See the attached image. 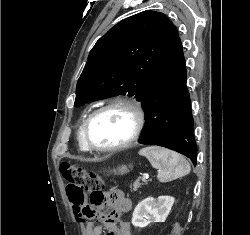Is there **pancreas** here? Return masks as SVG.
Returning <instances> with one entry per match:
<instances>
[{
  "label": "pancreas",
  "instance_id": "obj_1",
  "mask_svg": "<svg viewBox=\"0 0 250 235\" xmlns=\"http://www.w3.org/2000/svg\"><path fill=\"white\" fill-rule=\"evenodd\" d=\"M141 183L140 182H134L133 185L131 186V191H136L138 188L141 187Z\"/></svg>",
  "mask_w": 250,
  "mask_h": 235
}]
</instances>
